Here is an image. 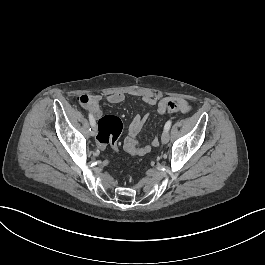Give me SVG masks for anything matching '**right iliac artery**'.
I'll return each mask as SVG.
<instances>
[{"mask_svg": "<svg viewBox=\"0 0 265 265\" xmlns=\"http://www.w3.org/2000/svg\"><path fill=\"white\" fill-rule=\"evenodd\" d=\"M88 116H89L90 125L94 126L95 125V120H94L93 115L91 113H89Z\"/></svg>", "mask_w": 265, "mask_h": 265, "instance_id": "right-iliac-artery-1", "label": "right iliac artery"}]
</instances>
